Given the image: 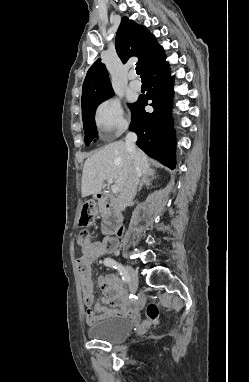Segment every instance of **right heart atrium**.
I'll return each instance as SVG.
<instances>
[{
	"mask_svg": "<svg viewBox=\"0 0 249 382\" xmlns=\"http://www.w3.org/2000/svg\"><path fill=\"white\" fill-rule=\"evenodd\" d=\"M94 121L101 133L106 136H117L127 127L122 105L119 100L110 98L98 105Z\"/></svg>",
	"mask_w": 249,
	"mask_h": 382,
	"instance_id": "d8ad5b80",
	"label": "right heart atrium"
}]
</instances>
